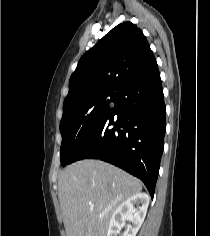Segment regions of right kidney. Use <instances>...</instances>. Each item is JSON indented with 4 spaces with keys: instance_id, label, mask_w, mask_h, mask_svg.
Here are the masks:
<instances>
[{
    "instance_id": "ca27d5eb",
    "label": "right kidney",
    "mask_w": 210,
    "mask_h": 236,
    "mask_svg": "<svg viewBox=\"0 0 210 236\" xmlns=\"http://www.w3.org/2000/svg\"><path fill=\"white\" fill-rule=\"evenodd\" d=\"M149 201L146 193H138L125 200L113 213L107 236H117L124 226V220H128L129 224L122 236H136L145 219Z\"/></svg>"
}]
</instances>
